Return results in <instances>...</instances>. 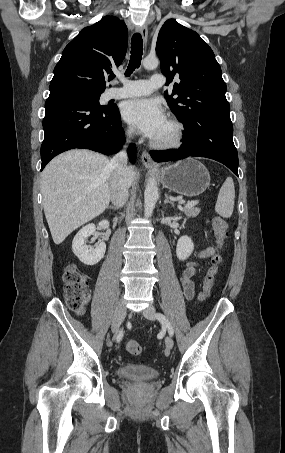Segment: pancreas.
<instances>
[{"mask_svg":"<svg viewBox=\"0 0 285 453\" xmlns=\"http://www.w3.org/2000/svg\"><path fill=\"white\" fill-rule=\"evenodd\" d=\"M183 212L185 213V215L188 217V218H194L196 216L199 215L200 213V208H197V207H190V208H185L183 210Z\"/></svg>","mask_w":285,"mask_h":453,"instance_id":"1","label":"pancreas"}]
</instances>
